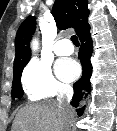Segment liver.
<instances>
[{
	"label": "liver",
	"instance_id": "obj_1",
	"mask_svg": "<svg viewBox=\"0 0 117 131\" xmlns=\"http://www.w3.org/2000/svg\"><path fill=\"white\" fill-rule=\"evenodd\" d=\"M70 120L63 106L49 100L21 108L12 131H68Z\"/></svg>",
	"mask_w": 117,
	"mask_h": 131
}]
</instances>
